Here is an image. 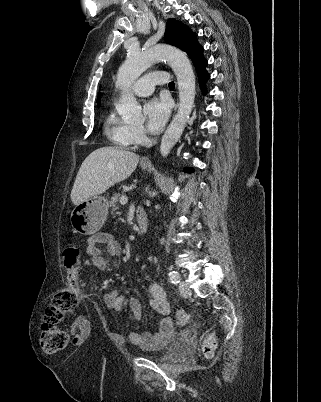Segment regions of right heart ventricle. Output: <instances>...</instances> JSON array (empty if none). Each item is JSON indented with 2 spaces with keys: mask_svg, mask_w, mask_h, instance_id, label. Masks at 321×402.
Returning <instances> with one entry per match:
<instances>
[{
  "mask_svg": "<svg viewBox=\"0 0 321 402\" xmlns=\"http://www.w3.org/2000/svg\"><path fill=\"white\" fill-rule=\"evenodd\" d=\"M134 126L111 111L105 119V132L110 141L121 148H131L136 143L133 137Z\"/></svg>",
  "mask_w": 321,
  "mask_h": 402,
  "instance_id": "obj_1",
  "label": "right heart ventricle"
}]
</instances>
